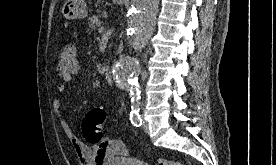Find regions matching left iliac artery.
I'll list each match as a JSON object with an SVG mask.
<instances>
[{
	"label": "left iliac artery",
	"mask_w": 276,
	"mask_h": 165,
	"mask_svg": "<svg viewBox=\"0 0 276 165\" xmlns=\"http://www.w3.org/2000/svg\"><path fill=\"white\" fill-rule=\"evenodd\" d=\"M139 104L140 103L138 101H132L131 113H130L131 123L136 127H139L142 125V119L139 114V110H140Z\"/></svg>",
	"instance_id": "obj_1"
}]
</instances>
